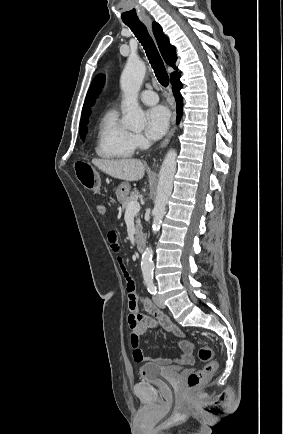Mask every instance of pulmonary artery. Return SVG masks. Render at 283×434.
Returning <instances> with one entry per match:
<instances>
[{
	"label": "pulmonary artery",
	"mask_w": 283,
	"mask_h": 434,
	"mask_svg": "<svg viewBox=\"0 0 283 434\" xmlns=\"http://www.w3.org/2000/svg\"><path fill=\"white\" fill-rule=\"evenodd\" d=\"M140 100L148 105H153L158 102V96L157 94L152 90H144L140 94Z\"/></svg>",
	"instance_id": "1"
}]
</instances>
